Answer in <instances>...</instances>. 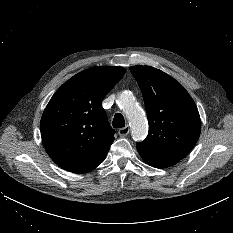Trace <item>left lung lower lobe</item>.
<instances>
[{
    "label": "left lung lower lobe",
    "mask_w": 233,
    "mask_h": 233,
    "mask_svg": "<svg viewBox=\"0 0 233 233\" xmlns=\"http://www.w3.org/2000/svg\"><path fill=\"white\" fill-rule=\"evenodd\" d=\"M138 152L142 159L149 164L150 166L156 167V168H166L169 166H172L176 164L179 160L177 159H171V158H166L162 156H157L153 154H149L141 149H138Z\"/></svg>",
    "instance_id": "0a47b994"
}]
</instances>
